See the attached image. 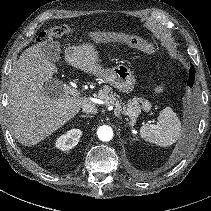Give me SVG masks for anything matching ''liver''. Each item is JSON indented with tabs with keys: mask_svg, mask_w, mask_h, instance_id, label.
I'll return each instance as SVG.
<instances>
[{
	"mask_svg": "<svg viewBox=\"0 0 211 211\" xmlns=\"http://www.w3.org/2000/svg\"><path fill=\"white\" fill-rule=\"evenodd\" d=\"M65 62L90 75L104 73L99 52L92 43L65 49ZM58 71L42 51V44L27 48L15 64L10 78L8 114L16 139L25 146L36 145L78 114L91 102L86 96L74 97L54 80ZM55 82V85L50 83ZM59 88V89H57Z\"/></svg>",
	"mask_w": 211,
	"mask_h": 211,
	"instance_id": "obj_1",
	"label": "liver"
}]
</instances>
